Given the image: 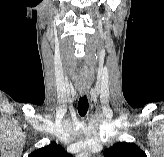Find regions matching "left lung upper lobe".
Returning a JSON list of instances; mask_svg holds the SVG:
<instances>
[{
    "label": "left lung upper lobe",
    "mask_w": 164,
    "mask_h": 157,
    "mask_svg": "<svg viewBox=\"0 0 164 157\" xmlns=\"http://www.w3.org/2000/svg\"><path fill=\"white\" fill-rule=\"evenodd\" d=\"M104 157H147L137 145L133 143L118 142L109 149L104 150Z\"/></svg>",
    "instance_id": "5c2ea615"
}]
</instances>
